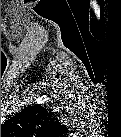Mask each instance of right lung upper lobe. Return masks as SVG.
<instances>
[{
	"label": "right lung upper lobe",
	"mask_w": 121,
	"mask_h": 137,
	"mask_svg": "<svg viewBox=\"0 0 121 137\" xmlns=\"http://www.w3.org/2000/svg\"><path fill=\"white\" fill-rule=\"evenodd\" d=\"M63 126L46 108L33 105L24 108L1 125V132L11 135H47L55 133Z\"/></svg>",
	"instance_id": "1"
}]
</instances>
